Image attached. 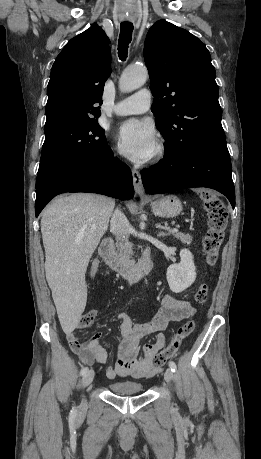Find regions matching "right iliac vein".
<instances>
[{
    "label": "right iliac vein",
    "mask_w": 261,
    "mask_h": 459,
    "mask_svg": "<svg viewBox=\"0 0 261 459\" xmlns=\"http://www.w3.org/2000/svg\"><path fill=\"white\" fill-rule=\"evenodd\" d=\"M94 375H95V373H94L93 370H88V371L84 374V376H83V378H82V386H83V387H86V386L90 385L91 382H92L93 379H94ZM84 404H85V403H84Z\"/></svg>",
    "instance_id": "right-iliac-vein-1"
}]
</instances>
